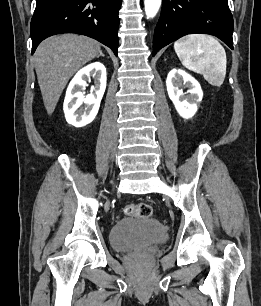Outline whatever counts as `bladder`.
Segmentation results:
<instances>
[{
    "label": "bladder",
    "instance_id": "obj_1",
    "mask_svg": "<svg viewBox=\"0 0 261 306\" xmlns=\"http://www.w3.org/2000/svg\"><path fill=\"white\" fill-rule=\"evenodd\" d=\"M167 228L155 218L126 217L116 221L110 230V244L116 251L164 243Z\"/></svg>",
    "mask_w": 261,
    "mask_h": 306
}]
</instances>
